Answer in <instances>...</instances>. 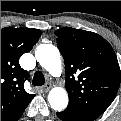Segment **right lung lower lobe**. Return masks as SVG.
I'll return each mask as SVG.
<instances>
[{
  "mask_svg": "<svg viewBox=\"0 0 121 121\" xmlns=\"http://www.w3.org/2000/svg\"><path fill=\"white\" fill-rule=\"evenodd\" d=\"M22 113L18 117H16L13 121H17L21 117Z\"/></svg>",
  "mask_w": 121,
  "mask_h": 121,
  "instance_id": "right-lung-lower-lobe-1",
  "label": "right lung lower lobe"
}]
</instances>
